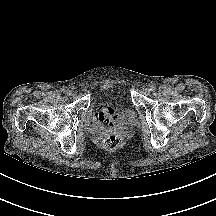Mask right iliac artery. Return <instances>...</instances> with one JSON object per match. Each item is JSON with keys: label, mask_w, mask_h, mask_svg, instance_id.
Listing matches in <instances>:
<instances>
[{"label": "right iliac artery", "mask_w": 216, "mask_h": 216, "mask_svg": "<svg viewBox=\"0 0 216 216\" xmlns=\"http://www.w3.org/2000/svg\"><path fill=\"white\" fill-rule=\"evenodd\" d=\"M64 93H65L66 95H70V91H69V90H65Z\"/></svg>", "instance_id": "obj_1"}]
</instances>
